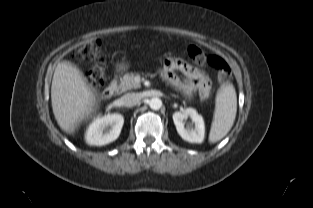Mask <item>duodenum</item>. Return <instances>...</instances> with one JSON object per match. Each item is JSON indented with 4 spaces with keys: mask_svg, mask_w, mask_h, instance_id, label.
I'll return each instance as SVG.
<instances>
[{
    "mask_svg": "<svg viewBox=\"0 0 313 208\" xmlns=\"http://www.w3.org/2000/svg\"><path fill=\"white\" fill-rule=\"evenodd\" d=\"M117 84L114 82H111L109 85H107L103 90V97L106 99H109L112 97L116 90Z\"/></svg>",
    "mask_w": 313,
    "mask_h": 208,
    "instance_id": "1",
    "label": "duodenum"
}]
</instances>
